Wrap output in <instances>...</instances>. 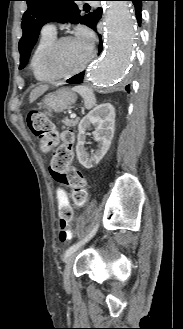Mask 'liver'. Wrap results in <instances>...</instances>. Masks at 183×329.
<instances>
[{
    "mask_svg": "<svg viewBox=\"0 0 183 329\" xmlns=\"http://www.w3.org/2000/svg\"><path fill=\"white\" fill-rule=\"evenodd\" d=\"M48 89V85H41L39 87H36L29 96V102H34L37 98H39L43 93H45Z\"/></svg>",
    "mask_w": 183,
    "mask_h": 329,
    "instance_id": "1",
    "label": "liver"
}]
</instances>
